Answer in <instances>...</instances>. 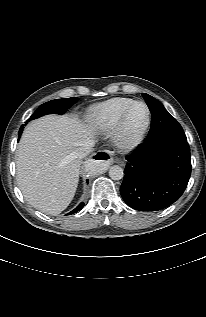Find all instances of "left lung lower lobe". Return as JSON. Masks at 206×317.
<instances>
[{"label": "left lung lower lobe", "mask_w": 206, "mask_h": 317, "mask_svg": "<svg viewBox=\"0 0 206 317\" xmlns=\"http://www.w3.org/2000/svg\"><path fill=\"white\" fill-rule=\"evenodd\" d=\"M126 160L120 193L133 209L158 211L168 207L188 184L191 156L186 137L145 140Z\"/></svg>", "instance_id": "1"}]
</instances>
